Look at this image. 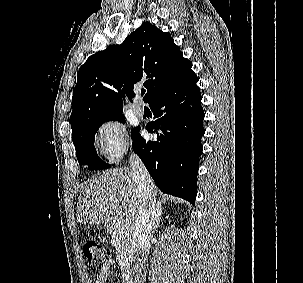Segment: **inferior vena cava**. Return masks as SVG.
I'll return each mask as SVG.
<instances>
[{"label":"inferior vena cava","instance_id":"obj_1","mask_svg":"<svg viewBox=\"0 0 303 283\" xmlns=\"http://www.w3.org/2000/svg\"><path fill=\"white\" fill-rule=\"evenodd\" d=\"M133 180L138 190V220L135 224L134 283H144L146 261L158 211L154 194V184L141 159L131 153L129 159Z\"/></svg>","mask_w":303,"mask_h":283}]
</instances>
